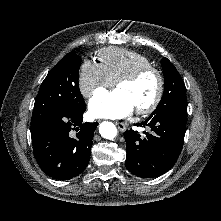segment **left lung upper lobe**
<instances>
[{
  "mask_svg": "<svg viewBox=\"0 0 221 221\" xmlns=\"http://www.w3.org/2000/svg\"><path fill=\"white\" fill-rule=\"evenodd\" d=\"M161 64L164 73V93L149 117L164 114L176 107L187 106L186 88L180 74L167 58H163Z\"/></svg>",
  "mask_w": 221,
  "mask_h": 221,
  "instance_id": "obj_1",
  "label": "left lung upper lobe"
}]
</instances>
